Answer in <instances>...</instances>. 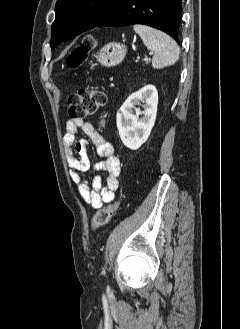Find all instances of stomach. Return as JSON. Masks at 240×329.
Returning <instances> with one entry per match:
<instances>
[{"instance_id": "stomach-1", "label": "stomach", "mask_w": 240, "mask_h": 329, "mask_svg": "<svg viewBox=\"0 0 240 329\" xmlns=\"http://www.w3.org/2000/svg\"><path fill=\"white\" fill-rule=\"evenodd\" d=\"M127 48L125 45L111 42L105 45L96 55L97 61L106 67H111L122 62L126 56Z\"/></svg>"}]
</instances>
